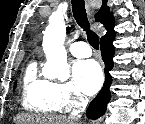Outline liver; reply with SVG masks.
<instances>
[{"label": "liver", "instance_id": "obj_1", "mask_svg": "<svg viewBox=\"0 0 145 124\" xmlns=\"http://www.w3.org/2000/svg\"><path fill=\"white\" fill-rule=\"evenodd\" d=\"M14 122L16 124H74L73 120L66 117L35 114L18 115Z\"/></svg>", "mask_w": 145, "mask_h": 124}]
</instances>
